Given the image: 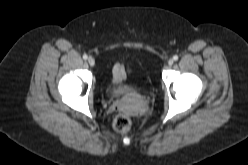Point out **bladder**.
I'll use <instances>...</instances> for the list:
<instances>
[{"label":"bladder","instance_id":"1","mask_svg":"<svg viewBox=\"0 0 248 165\" xmlns=\"http://www.w3.org/2000/svg\"><path fill=\"white\" fill-rule=\"evenodd\" d=\"M135 87L133 85H120L116 87H109L107 93L112 98H122L130 96L135 93Z\"/></svg>","mask_w":248,"mask_h":165}]
</instances>
